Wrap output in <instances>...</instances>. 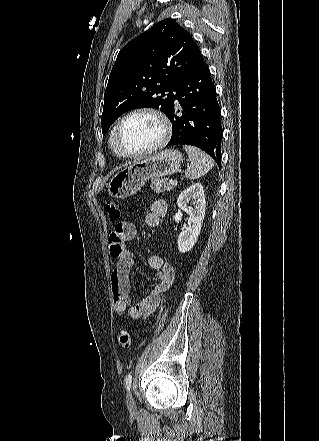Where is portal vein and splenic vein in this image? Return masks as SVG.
Returning <instances> with one entry per match:
<instances>
[{
    "mask_svg": "<svg viewBox=\"0 0 319 441\" xmlns=\"http://www.w3.org/2000/svg\"><path fill=\"white\" fill-rule=\"evenodd\" d=\"M170 183L172 186H176L178 182H177V180H171Z\"/></svg>",
    "mask_w": 319,
    "mask_h": 441,
    "instance_id": "portal-vein-and-splenic-vein-1",
    "label": "portal vein and splenic vein"
}]
</instances>
